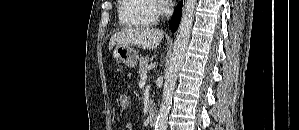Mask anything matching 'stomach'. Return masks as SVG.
<instances>
[{
	"label": "stomach",
	"instance_id": "0dacf381",
	"mask_svg": "<svg viewBox=\"0 0 299 130\" xmlns=\"http://www.w3.org/2000/svg\"><path fill=\"white\" fill-rule=\"evenodd\" d=\"M112 56L116 61L122 62L130 68L135 67L139 60L138 53L130 45H116L112 51Z\"/></svg>",
	"mask_w": 299,
	"mask_h": 130
}]
</instances>
